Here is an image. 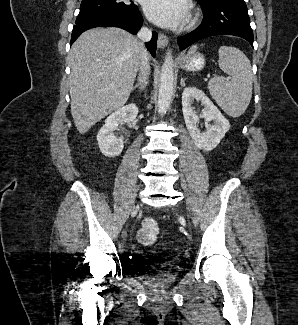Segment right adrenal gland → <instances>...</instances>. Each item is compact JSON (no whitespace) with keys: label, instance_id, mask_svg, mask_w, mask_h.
<instances>
[{"label":"right adrenal gland","instance_id":"right-adrenal-gland-1","mask_svg":"<svg viewBox=\"0 0 298 325\" xmlns=\"http://www.w3.org/2000/svg\"><path fill=\"white\" fill-rule=\"evenodd\" d=\"M138 86L140 90H143V88L147 86V80H145L144 74H140V76H138V82H136L135 86H132L131 90H135V88H138Z\"/></svg>","mask_w":298,"mask_h":325}]
</instances>
